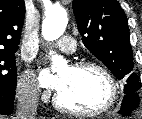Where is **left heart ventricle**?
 I'll return each mask as SVG.
<instances>
[{
  "instance_id": "b2bd125f",
  "label": "left heart ventricle",
  "mask_w": 142,
  "mask_h": 119,
  "mask_svg": "<svg viewBox=\"0 0 142 119\" xmlns=\"http://www.w3.org/2000/svg\"><path fill=\"white\" fill-rule=\"evenodd\" d=\"M60 76L63 78V85L58 94L64 105L81 111H91L106 102L108 84L99 71L67 67L60 72Z\"/></svg>"
}]
</instances>
